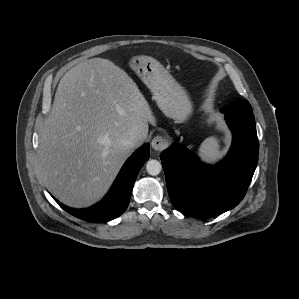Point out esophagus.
Returning a JSON list of instances; mask_svg holds the SVG:
<instances>
[{"label":"esophagus","instance_id":"1","mask_svg":"<svg viewBox=\"0 0 299 299\" xmlns=\"http://www.w3.org/2000/svg\"><path fill=\"white\" fill-rule=\"evenodd\" d=\"M167 144V140L160 135L155 136L152 139L151 146L154 150L160 151L162 150Z\"/></svg>","mask_w":299,"mask_h":299}]
</instances>
